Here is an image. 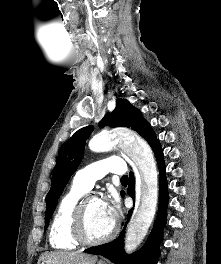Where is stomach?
Wrapping results in <instances>:
<instances>
[{"label": "stomach", "mask_w": 221, "mask_h": 264, "mask_svg": "<svg viewBox=\"0 0 221 264\" xmlns=\"http://www.w3.org/2000/svg\"><path fill=\"white\" fill-rule=\"evenodd\" d=\"M40 264H46V263H43V262H42V263H40ZM99 264H102V263H99Z\"/></svg>", "instance_id": "obj_1"}]
</instances>
